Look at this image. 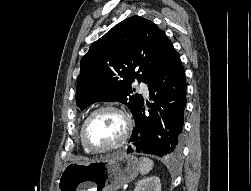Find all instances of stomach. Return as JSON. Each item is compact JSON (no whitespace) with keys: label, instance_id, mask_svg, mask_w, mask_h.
I'll use <instances>...</instances> for the list:
<instances>
[{"label":"stomach","instance_id":"stomach-1","mask_svg":"<svg viewBox=\"0 0 251 191\" xmlns=\"http://www.w3.org/2000/svg\"><path fill=\"white\" fill-rule=\"evenodd\" d=\"M140 161L131 153H110L96 161H71L59 181L58 191H116L135 179ZM87 185H92L88 187Z\"/></svg>","mask_w":251,"mask_h":191}]
</instances>
